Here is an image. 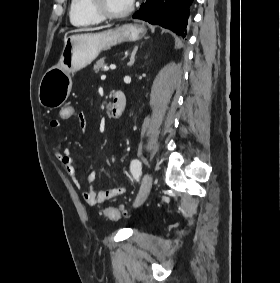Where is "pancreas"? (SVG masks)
<instances>
[{
    "label": "pancreas",
    "instance_id": "1",
    "mask_svg": "<svg viewBox=\"0 0 280 283\" xmlns=\"http://www.w3.org/2000/svg\"><path fill=\"white\" fill-rule=\"evenodd\" d=\"M93 69H94L95 72L106 71L105 57H102L99 60H97L96 63L94 64Z\"/></svg>",
    "mask_w": 280,
    "mask_h": 283
}]
</instances>
